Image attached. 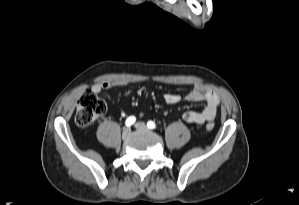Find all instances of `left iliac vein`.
Here are the masks:
<instances>
[{"mask_svg": "<svg viewBox=\"0 0 299 205\" xmlns=\"http://www.w3.org/2000/svg\"><path fill=\"white\" fill-rule=\"evenodd\" d=\"M135 128L138 129V130H147V126L145 123H142V122H138L135 124Z\"/></svg>", "mask_w": 299, "mask_h": 205, "instance_id": "obj_1", "label": "left iliac vein"}]
</instances>
